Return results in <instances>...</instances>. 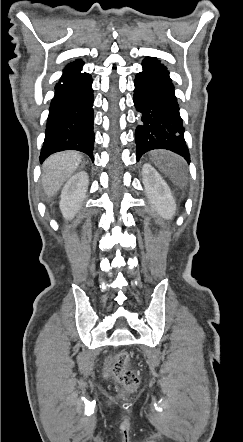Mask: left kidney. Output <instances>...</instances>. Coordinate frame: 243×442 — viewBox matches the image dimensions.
<instances>
[{
  "instance_id": "obj_1",
  "label": "left kidney",
  "mask_w": 243,
  "mask_h": 442,
  "mask_svg": "<svg viewBox=\"0 0 243 442\" xmlns=\"http://www.w3.org/2000/svg\"><path fill=\"white\" fill-rule=\"evenodd\" d=\"M143 183L152 207L164 219H172L176 203L170 189L158 172L148 163L142 168Z\"/></svg>"
}]
</instances>
